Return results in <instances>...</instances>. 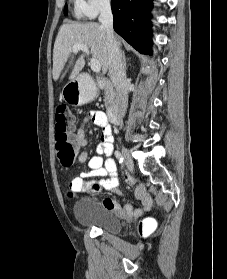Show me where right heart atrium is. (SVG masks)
<instances>
[{
    "label": "right heart atrium",
    "instance_id": "d8ad5b80",
    "mask_svg": "<svg viewBox=\"0 0 227 279\" xmlns=\"http://www.w3.org/2000/svg\"><path fill=\"white\" fill-rule=\"evenodd\" d=\"M78 4L85 15L94 17L109 6L110 0H78Z\"/></svg>",
    "mask_w": 227,
    "mask_h": 279
}]
</instances>
